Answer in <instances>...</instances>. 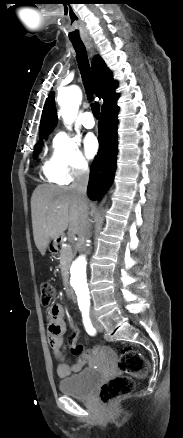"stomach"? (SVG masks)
Here are the masks:
<instances>
[{
	"label": "stomach",
	"instance_id": "obj_1",
	"mask_svg": "<svg viewBox=\"0 0 183 438\" xmlns=\"http://www.w3.org/2000/svg\"><path fill=\"white\" fill-rule=\"evenodd\" d=\"M57 241H58V238L52 239L50 246H49L50 251L54 252V250H57Z\"/></svg>",
	"mask_w": 183,
	"mask_h": 438
}]
</instances>
